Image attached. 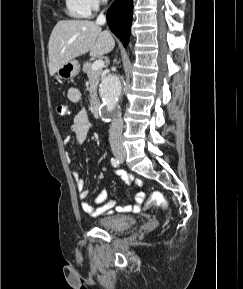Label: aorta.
<instances>
[{
	"instance_id": "obj_1",
	"label": "aorta",
	"mask_w": 243,
	"mask_h": 289,
	"mask_svg": "<svg viewBox=\"0 0 243 289\" xmlns=\"http://www.w3.org/2000/svg\"><path fill=\"white\" fill-rule=\"evenodd\" d=\"M121 90V82L116 75L110 74L103 79L100 85V96L103 102V108L107 114L114 113L121 95Z\"/></svg>"
}]
</instances>
